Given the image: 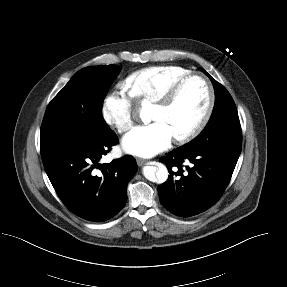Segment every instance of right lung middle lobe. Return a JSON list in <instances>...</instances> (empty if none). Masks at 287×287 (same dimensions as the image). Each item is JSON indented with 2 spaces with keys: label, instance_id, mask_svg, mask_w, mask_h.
Returning a JSON list of instances; mask_svg holds the SVG:
<instances>
[{
  "label": "right lung middle lobe",
  "instance_id": "obj_1",
  "mask_svg": "<svg viewBox=\"0 0 287 287\" xmlns=\"http://www.w3.org/2000/svg\"><path fill=\"white\" fill-rule=\"evenodd\" d=\"M120 70L119 66L105 65L75 73L46 109L40 130L41 149L88 142L110 131L101 108Z\"/></svg>",
  "mask_w": 287,
  "mask_h": 287
}]
</instances>
